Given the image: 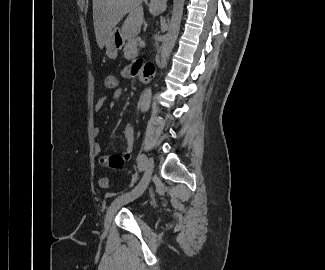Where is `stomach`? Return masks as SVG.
I'll return each mask as SVG.
<instances>
[{
  "instance_id": "obj_1",
  "label": "stomach",
  "mask_w": 325,
  "mask_h": 270,
  "mask_svg": "<svg viewBox=\"0 0 325 270\" xmlns=\"http://www.w3.org/2000/svg\"><path fill=\"white\" fill-rule=\"evenodd\" d=\"M154 15L157 14L156 10H152ZM127 38L123 34L122 30H115L112 32L109 40L106 42V55L110 59H115L117 57V52L122 48Z\"/></svg>"
}]
</instances>
